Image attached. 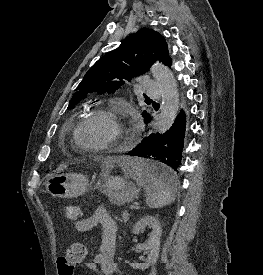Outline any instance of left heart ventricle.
Here are the masks:
<instances>
[{"label":"left heart ventricle","mask_w":263,"mask_h":275,"mask_svg":"<svg viewBox=\"0 0 263 275\" xmlns=\"http://www.w3.org/2000/svg\"><path fill=\"white\" fill-rule=\"evenodd\" d=\"M115 135L113 124L106 118L96 117L83 126L80 137L87 144H103Z\"/></svg>","instance_id":"b2bd125f"}]
</instances>
